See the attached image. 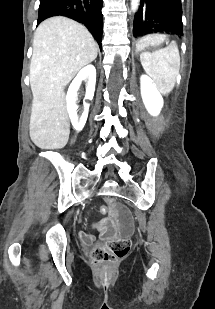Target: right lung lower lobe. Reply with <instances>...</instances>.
Returning <instances> with one entry per match:
<instances>
[{"label": "right lung lower lobe", "mask_w": 215, "mask_h": 309, "mask_svg": "<svg viewBox=\"0 0 215 309\" xmlns=\"http://www.w3.org/2000/svg\"><path fill=\"white\" fill-rule=\"evenodd\" d=\"M102 0H40L37 26L53 16H66L84 24L101 47Z\"/></svg>", "instance_id": "obj_1"}]
</instances>
